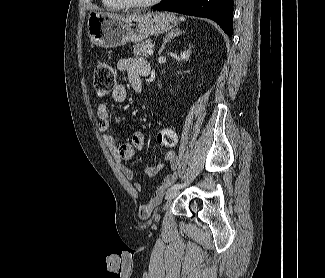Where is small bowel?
I'll return each mask as SVG.
<instances>
[{
	"mask_svg": "<svg viewBox=\"0 0 325 278\" xmlns=\"http://www.w3.org/2000/svg\"><path fill=\"white\" fill-rule=\"evenodd\" d=\"M148 67V62L145 59L138 57H121L117 61V68L120 71L127 73L130 86L136 94H139L142 90V77L148 76ZM112 99L116 103H124L127 99L126 87L122 84L117 85L112 92ZM97 113L99 117V130L104 133V141L112 152L118 168L128 180H133L134 172L127 167L124 162L130 161L137 152L142 150L145 143L144 133L138 130L133 133L129 142L118 145L115 136L108 132L111 121L110 111L107 104L101 103L98 106ZM172 148H169L165 153V163L147 165L145 167V172L150 176L158 174L165 168V166H168L171 169V173L165 176L163 183L156 189L155 199L161 197L164 194L165 189L176 179L175 171L177 167V157ZM134 186L139 191L143 188L142 183L138 181L134 182Z\"/></svg>",
	"mask_w": 325,
	"mask_h": 278,
	"instance_id": "c3829d8e",
	"label": "small bowel"
}]
</instances>
